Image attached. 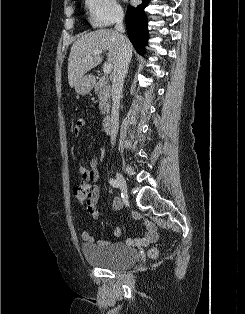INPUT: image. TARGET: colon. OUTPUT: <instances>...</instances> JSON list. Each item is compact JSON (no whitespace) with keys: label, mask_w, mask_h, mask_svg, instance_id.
Listing matches in <instances>:
<instances>
[{"label":"colon","mask_w":245,"mask_h":314,"mask_svg":"<svg viewBox=\"0 0 245 314\" xmlns=\"http://www.w3.org/2000/svg\"><path fill=\"white\" fill-rule=\"evenodd\" d=\"M73 194L77 201L81 204H87L91 199V187L86 182L78 183L73 188ZM156 250L151 251V256L156 255Z\"/></svg>","instance_id":"obj_1"}]
</instances>
